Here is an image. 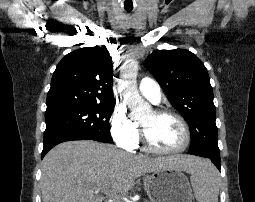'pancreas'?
I'll list each match as a JSON object with an SVG mask.
<instances>
[{
  "label": "pancreas",
  "instance_id": "cf45deb5",
  "mask_svg": "<svg viewBox=\"0 0 255 202\" xmlns=\"http://www.w3.org/2000/svg\"><path fill=\"white\" fill-rule=\"evenodd\" d=\"M117 202H122L121 200H118Z\"/></svg>",
  "mask_w": 255,
  "mask_h": 202
}]
</instances>
